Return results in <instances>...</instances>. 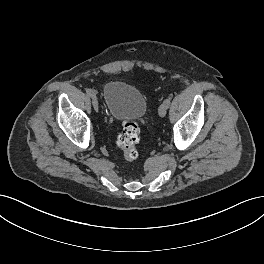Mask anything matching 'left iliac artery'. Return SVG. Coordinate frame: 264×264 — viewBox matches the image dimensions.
<instances>
[{"mask_svg": "<svg viewBox=\"0 0 264 264\" xmlns=\"http://www.w3.org/2000/svg\"><path fill=\"white\" fill-rule=\"evenodd\" d=\"M164 103L167 105V107H169V105L171 103V99L170 98L165 99Z\"/></svg>", "mask_w": 264, "mask_h": 264, "instance_id": "obj_1", "label": "left iliac artery"}]
</instances>
